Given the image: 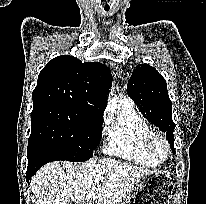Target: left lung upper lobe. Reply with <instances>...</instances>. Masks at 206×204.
<instances>
[{
	"mask_svg": "<svg viewBox=\"0 0 206 204\" xmlns=\"http://www.w3.org/2000/svg\"><path fill=\"white\" fill-rule=\"evenodd\" d=\"M127 93L136 102L143 116L166 133L170 147L175 152V123L172 120V102L165 79L154 67L139 64L128 81Z\"/></svg>",
	"mask_w": 206,
	"mask_h": 204,
	"instance_id": "5c2ea615",
	"label": "left lung upper lobe"
}]
</instances>
